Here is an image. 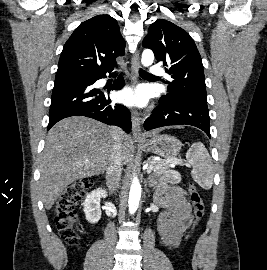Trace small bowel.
I'll return each mask as SVG.
<instances>
[{"label": "small bowel", "instance_id": "1", "mask_svg": "<svg viewBox=\"0 0 267 270\" xmlns=\"http://www.w3.org/2000/svg\"><path fill=\"white\" fill-rule=\"evenodd\" d=\"M154 200L165 209L159 218L160 244L173 249L179 245L183 233L192 222L191 203L182 187L164 183H155Z\"/></svg>", "mask_w": 267, "mask_h": 270}]
</instances>
